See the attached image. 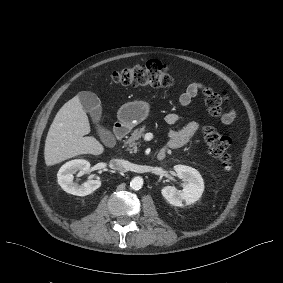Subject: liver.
Wrapping results in <instances>:
<instances>
[{"mask_svg": "<svg viewBox=\"0 0 283 283\" xmlns=\"http://www.w3.org/2000/svg\"><path fill=\"white\" fill-rule=\"evenodd\" d=\"M90 132L80 95H75L59 110L49 129L44 151L46 166L81 155H102L105 147L94 136H85Z\"/></svg>", "mask_w": 283, "mask_h": 283, "instance_id": "liver-1", "label": "liver"}]
</instances>
